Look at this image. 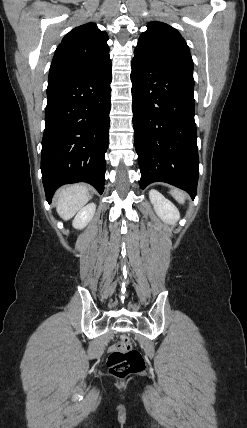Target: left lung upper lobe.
Instances as JSON below:
<instances>
[{"instance_id":"left-lung-upper-lobe-1","label":"left lung upper lobe","mask_w":247,"mask_h":428,"mask_svg":"<svg viewBox=\"0 0 247 428\" xmlns=\"http://www.w3.org/2000/svg\"><path fill=\"white\" fill-rule=\"evenodd\" d=\"M136 52L158 58L165 64L193 74V61L184 38L166 23L153 21L141 34Z\"/></svg>"}]
</instances>
